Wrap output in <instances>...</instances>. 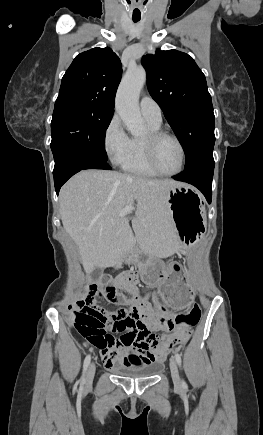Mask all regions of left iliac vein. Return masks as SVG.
I'll use <instances>...</instances> for the list:
<instances>
[{
    "mask_svg": "<svg viewBox=\"0 0 263 435\" xmlns=\"http://www.w3.org/2000/svg\"><path fill=\"white\" fill-rule=\"evenodd\" d=\"M170 370H171V375H172L174 385L176 387H180L181 381H180L179 371H178L176 361L174 359H171L170 361Z\"/></svg>",
    "mask_w": 263,
    "mask_h": 435,
    "instance_id": "4c4485c4",
    "label": "left iliac vein"
}]
</instances>
